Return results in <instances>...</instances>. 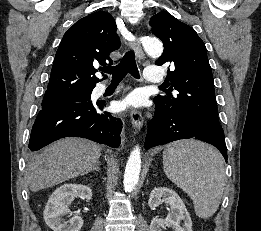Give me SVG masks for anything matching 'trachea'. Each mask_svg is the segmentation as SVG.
I'll return each mask as SVG.
<instances>
[{
	"mask_svg": "<svg viewBox=\"0 0 261 231\" xmlns=\"http://www.w3.org/2000/svg\"><path fill=\"white\" fill-rule=\"evenodd\" d=\"M103 72L112 74V81H121L128 73L134 78H140L139 71L135 61V54L133 51H127L116 66L103 68Z\"/></svg>",
	"mask_w": 261,
	"mask_h": 231,
	"instance_id": "obj_1",
	"label": "trachea"
}]
</instances>
